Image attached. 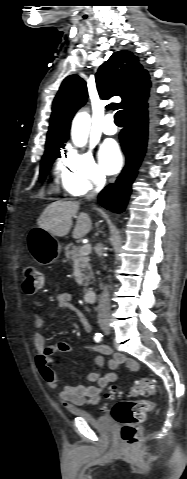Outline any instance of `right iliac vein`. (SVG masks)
Returning a JSON list of instances; mask_svg holds the SVG:
<instances>
[{
    "label": "right iliac vein",
    "instance_id": "63e3f726",
    "mask_svg": "<svg viewBox=\"0 0 187 479\" xmlns=\"http://www.w3.org/2000/svg\"><path fill=\"white\" fill-rule=\"evenodd\" d=\"M100 328L105 332L106 334H109L111 332V328L108 322H101L100 323Z\"/></svg>",
    "mask_w": 187,
    "mask_h": 479
}]
</instances>
